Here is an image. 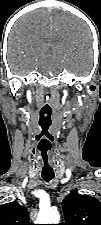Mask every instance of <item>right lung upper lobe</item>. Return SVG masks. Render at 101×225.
I'll list each match as a JSON object with an SVG mask.
<instances>
[{
    "label": "right lung upper lobe",
    "instance_id": "1",
    "mask_svg": "<svg viewBox=\"0 0 101 225\" xmlns=\"http://www.w3.org/2000/svg\"><path fill=\"white\" fill-rule=\"evenodd\" d=\"M0 225H31L27 209L15 201L0 206Z\"/></svg>",
    "mask_w": 101,
    "mask_h": 225
}]
</instances>
